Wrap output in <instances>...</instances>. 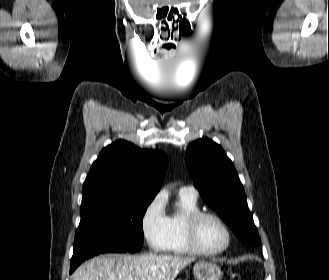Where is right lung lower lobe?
<instances>
[{"label":"right lung lower lobe","mask_w":329,"mask_h":280,"mask_svg":"<svg viewBox=\"0 0 329 280\" xmlns=\"http://www.w3.org/2000/svg\"><path fill=\"white\" fill-rule=\"evenodd\" d=\"M97 255H98V254H97ZM92 257H93V256H92ZM89 258H90V257H89ZM87 259H88V258H87ZM82 262H83V261H82ZM82 262H81V263H82ZM81 263H80V264H81ZM80 264H79V265H80ZM79 265H78V266H79ZM78 266H77V267H78ZM77 267H75L74 269L70 270V273H72Z\"/></svg>","instance_id":"right-lung-lower-lobe-1"}]
</instances>
